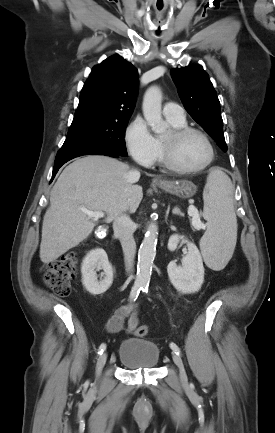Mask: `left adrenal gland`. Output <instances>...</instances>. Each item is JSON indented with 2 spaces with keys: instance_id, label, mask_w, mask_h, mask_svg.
Returning a JSON list of instances; mask_svg holds the SVG:
<instances>
[{
  "instance_id": "a2214340",
  "label": "left adrenal gland",
  "mask_w": 275,
  "mask_h": 433,
  "mask_svg": "<svg viewBox=\"0 0 275 433\" xmlns=\"http://www.w3.org/2000/svg\"><path fill=\"white\" fill-rule=\"evenodd\" d=\"M172 213L175 214V215H180V216L183 215L182 212L180 211V209H179L178 207H175V208L172 210Z\"/></svg>"
}]
</instances>
